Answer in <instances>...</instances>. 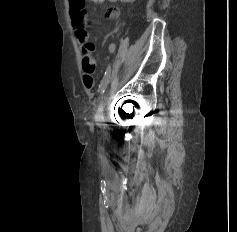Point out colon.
<instances>
[{
  "mask_svg": "<svg viewBox=\"0 0 237 232\" xmlns=\"http://www.w3.org/2000/svg\"><path fill=\"white\" fill-rule=\"evenodd\" d=\"M70 11L77 35L81 38H87L88 23L85 13V0H70ZM115 14L116 12L112 8H109L105 13L108 18L114 17Z\"/></svg>",
  "mask_w": 237,
  "mask_h": 232,
  "instance_id": "obj_1",
  "label": "colon"
}]
</instances>
